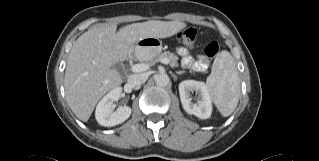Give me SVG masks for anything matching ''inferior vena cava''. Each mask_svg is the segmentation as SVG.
Returning a JSON list of instances; mask_svg holds the SVG:
<instances>
[{"label": "inferior vena cava", "mask_w": 319, "mask_h": 161, "mask_svg": "<svg viewBox=\"0 0 319 161\" xmlns=\"http://www.w3.org/2000/svg\"><path fill=\"white\" fill-rule=\"evenodd\" d=\"M148 79V75L145 73L132 74L128 77V83L131 85H140Z\"/></svg>", "instance_id": "obj_1"}]
</instances>
